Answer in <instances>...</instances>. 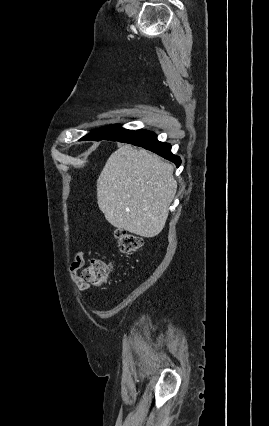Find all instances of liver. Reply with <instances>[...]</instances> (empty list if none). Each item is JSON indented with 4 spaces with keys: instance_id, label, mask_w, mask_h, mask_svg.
Instances as JSON below:
<instances>
[{
    "instance_id": "6515ba94",
    "label": "liver",
    "mask_w": 269,
    "mask_h": 426,
    "mask_svg": "<svg viewBox=\"0 0 269 426\" xmlns=\"http://www.w3.org/2000/svg\"><path fill=\"white\" fill-rule=\"evenodd\" d=\"M172 164L132 145L108 158L97 180V202L119 230L152 238L164 228L176 191Z\"/></svg>"
}]
</instances>
